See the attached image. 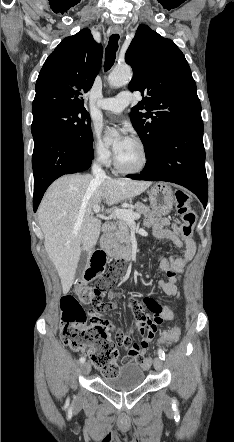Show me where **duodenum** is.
I'll list each match as a JSON object with an SVG mask.
<instances>
[{
	"mask_svg": "<svg viewBox=\"0 0 234 442\" xmlns=\"http://www.w3.org/2000/svg\"><path fill=\"white\" fill-rule=\"evenodd\" d=\"M114 231V225L112 223H106L103 225V248L102 253H107L115 261H132L136 257V249L132 246H126L118 248L112 245L109 238L112 236Z\"/></svg>",
	"mask_w": 234,
	"mask_h": 442,
	"instance_id": "1",
	"label": "duodenum"
}]
</instances>
